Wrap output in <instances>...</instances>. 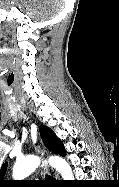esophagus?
Segmentation results:
<instances>
[{
    "label": "esophagus",
    "mask_w": 119,
    "mask_h": 187,
    "mask_svg": "<svg viewBox=\"0 0 119 187\" xmlns=\"http://www.w3.org/2000/svg\"><path fill=\"white\" fill-rule=\"evenodd\" d=\"M43 166L47 167V164L45 163ZM55 177L58 178V174L55 172Z\"/></svg>",
    "instance_id": "34e87169"
}]
</instances>
